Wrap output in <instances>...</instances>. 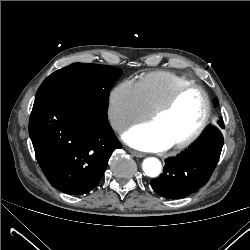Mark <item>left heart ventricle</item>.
Wrapping results in <instances>:
<instances>
[{
    "label": "left heart ventricle",
    "instance_id": "b2bd125f",
    "mask_svg": "<svg viewBox=\"0 0 250 250\" xmlns=\"http://www.w3.org/2000/svg\"><path fill=\"white\" fill-rule=\"evenodd\" d=\"M205 103L198 90L186 92L174 106L152 123L172 143L188 137L202 121Z\"/></svg>",
    "mask_w": 250,
    "mask_h": 250
}]
</instances>
